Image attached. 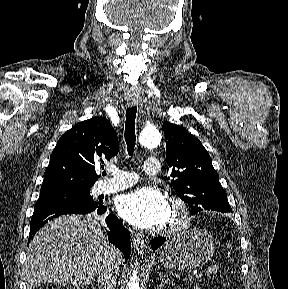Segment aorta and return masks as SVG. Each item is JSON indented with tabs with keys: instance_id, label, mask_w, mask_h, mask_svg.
Here are the masks:
<instances>
[{
	"instance_id": "aorta-1",
	"label": "aorta",
	"mask_w": 288,
	"mask_h": 289,
	"mask_svg": "<svg viewBox=\"0 0 288 289\" xmlns=\"http://www.w3.org/2000/svg\"><path fill=\"white\" fill-rule=\"evenodd\" d=\"M139 142L147 148H155L160 145L161 135L155 127H147L139 135ZM137 269L134 268L130 276L128 289H141Z\"/></svg>"
}]
</instances>
